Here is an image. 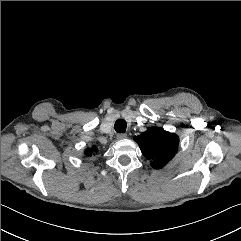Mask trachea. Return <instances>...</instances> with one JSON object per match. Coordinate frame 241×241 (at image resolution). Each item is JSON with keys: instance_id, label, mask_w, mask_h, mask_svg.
Returning a JSON list of instances; mask_svg holds the SVG:
<instances>
[{"instance_id": "trachea-1", "label": "trachea", "mask_w": 241, "mask_h": 241, "mask_svg": "<svg viewBox=\"0 0 241 241\" xmlns=\"http://www.w3.org/2000/svg\"><path fill=\"white\" fill-rule=\"evenodd\" d=\"M126 127H127V124L124 119H118L114 125V129L118 133H124L126 131Z\"/></svg>"}]
</instances>
